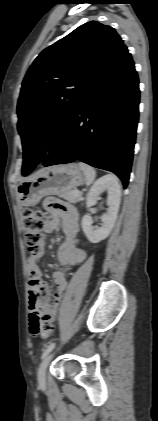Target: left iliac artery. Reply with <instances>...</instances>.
<instances>
[{"label": "left iliac artery", "instance_id": "obj_1", "mask_svg": "<svg viewBox=\"0 0 158 421\" xmlns=\"http://www.w3.org/2000/svg\"><path fill=\"white\" fill-rule=\"evenodd\" d=\"M54 347H55V343L54 342L51 343L50 345H48L47 348L44 350L41 358L42 359L45 358L53 350Z\"/></svg>", "mask_w": 158, "mask_h": 421}]
</instances>
